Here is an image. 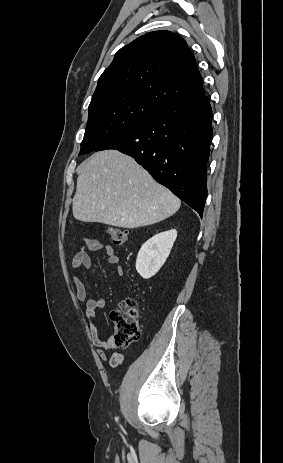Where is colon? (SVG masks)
<instances>
[{
	"label": "colon",
	"mask_w": 283,
	"mask_h": 463,
	"mask_svg": "<svg viewBox=\"0 0 283 463\" xmlns=\"http://www.w3.org/2000/svg\"><path fill=\"white\" fill-rule=\"evenodd\" d=\"M108 235L116 246H123L128 241L125 230L110 227ZM113 323V340L116 346L125 347L140 337L139 309L135 301L126 298L111 312Z\"/></svg>",
	"instance_id": "obj_1"
}]
</instances>
